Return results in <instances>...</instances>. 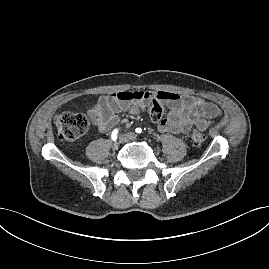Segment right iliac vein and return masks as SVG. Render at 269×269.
I'll use <instances>...</instances> for the list:
<instances>
[{"label":"right iliac vein","instance_id":"1","mask_svg":"<svg viewBox=\"0 0 269 269\" xmlns=\"http://www.w3.org/2000/svg\"><path fill=\"white\" fill-rule=\"evenodd\" d=\"M126 140H127V138H126L125 135H121V136L119 137V143H124V142H126Z\"/></svg>","mask_w":269,"mask_h":269}]
</instances>
